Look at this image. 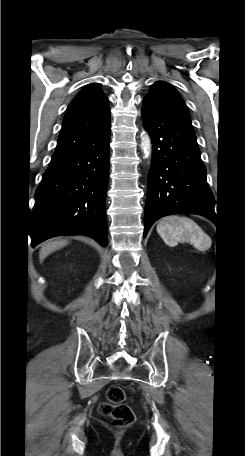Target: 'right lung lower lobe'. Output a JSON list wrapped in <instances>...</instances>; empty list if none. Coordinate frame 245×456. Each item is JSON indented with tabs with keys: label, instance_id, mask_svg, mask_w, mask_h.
Listing matches in <instances>:
<instances>
[{
	"label": "right lung lower lobe",
	"instance_id": "right-lung-lower-lobe-1",
	"mask_svg": "<svg viewBox=\"0 0 245 456\" xmlns=\"http://www.w3.org/2000/svg\"><path fill=\"white\" fill-rule=\"evenodd\" d=\"M109 144L110 124L87 147L51 158L35 193L32 247L51 237L79 234L107 246Z\"/></svg>",
	"mask_w": 245,
	"mask_h": 456
}]
</instances>
